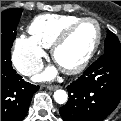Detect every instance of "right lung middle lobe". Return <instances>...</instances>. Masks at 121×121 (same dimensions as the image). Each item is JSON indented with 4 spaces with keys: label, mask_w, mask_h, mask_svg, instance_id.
Returning a JSON list of instances; mask_svg holds the SVG:
<instances>
[{
    "label": "right lung middle lobe",
    "mask_w": 121,
    "mask_h": 121,
    "mask_svg": "<svg viewBox=\"0 0 121 121\" xmlns=\"http://www.w3.org/2000/svg\"><path fill=\"white\" fill-rule=\"evenodd\" d=\"M22 11V9L15 8L1 13V50H11Z\"/></svg>",
    "instance_id": "dd1d6c3e"
}]
</instances>
